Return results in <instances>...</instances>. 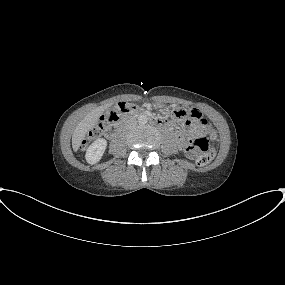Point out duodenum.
Returning <instances> with one entry per match:
<instances>
[{
  "instance_id": "1",
  "label": "duodenum",
  "mask_w": 285,
  "mask_h": 285,
  "mask_svg": "<svg viewBox=\"0 0 285 285\" xmlns=\"http://www.w3.org/2000/svg\"><path fill=\"white\" fill-rule=\"evenodd\" d=\"M154 120L158 121L160 123L163 122L161 119H158V118H155ZM118 128H119V125H113L112 126V131H116Z\"/></svg>"
}]
</instances>
